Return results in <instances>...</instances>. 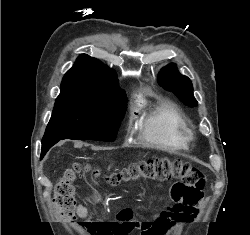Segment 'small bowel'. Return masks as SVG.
I'll return each mask as SVG.
<instances>
[{"instance_id": "1", "label": "small bowel", "mask_w": 250, "mask_h": 235, "mask_svg": "<svg viewBox=\"0 0 250 235\" xmlns=\"http://www.w3.org/2000/svg\"><path fill=\"white\" fill-rule=\"evenodd\" d=\"M198 205L187 206L183 203H180L178 205L180 208L176 209V204H172L169 211L162 213L157 219L164 225L162 234L172 231L177 224L192 221L198 214ZM77 213L80 217H85L87 215V208L83 205H80L77 209Z\"/></svg>"}]
</instances>
